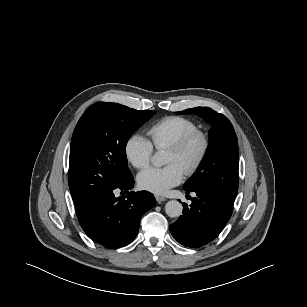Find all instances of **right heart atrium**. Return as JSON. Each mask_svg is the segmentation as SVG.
I'll list each match as a JSON object with an SVG mask.
<instances>
[{"instance_id": "d8ad5b80", "label": "right heart atrium", "mask_w": 307, "mask_h": 307, "mask_svg": "<svg viewBox=\"0 0 307 307\" xmlns=\"http://www.w3.org/2000/svg\"><path fill=\"white\" fill-rule=\"evenodd\" d=\"M125 153L130 163L138 169L145 168L153 156L152 143L139 134H134L125 144Z\"/></svg>"}]
</instances>
